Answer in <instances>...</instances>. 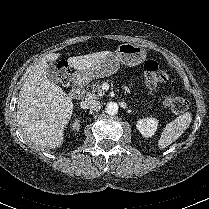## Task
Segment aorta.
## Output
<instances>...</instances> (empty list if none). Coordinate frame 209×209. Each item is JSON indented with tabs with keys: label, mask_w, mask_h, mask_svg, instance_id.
Segmentation results:
<instances>
[{
	"label": "aorta",
	"mask_w": 209,
	"mask_h": 209,
	"mask_svg": "<svg viewBox=\"0 0 209 209\" xmlns=\"http://www.w3.org/2000/svg\"><path fill=\"white\" fill-rule=\"evenodd\" d=\"M105 109H106V113L109 115H115L118 112L117 104L112 102L108 103Z\"/></svg>",
	"instance_id": "1"
}]
</instances>
